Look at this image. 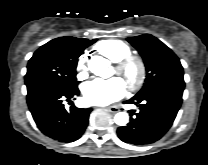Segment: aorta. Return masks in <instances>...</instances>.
Returning a JSON list of instances; mask_svg holds the SVG:
<instances>
[{
	"label": "aorta",
	"mask_w": 208,
	"mask_h": 165,
	"mask_svg": "<svg viewBox=\"0 0 208 165\" xmlns=\"http://www.w3.org/2000/svg\"><path fill=\"white\" fill-rule=\"evenodd\" d=\"M90 71L100 77H108L109 61L101 56H94L88 64ZM114 122L119 126H125L129 122V115L126 112H118Z\"/></svg>",
	"instance_id": "aorta-1"
}]
</instances>
